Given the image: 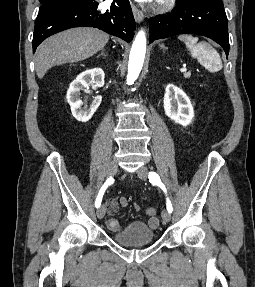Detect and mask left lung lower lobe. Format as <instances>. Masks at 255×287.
Here are the masks:
<instances>
[{"instance_id": "obj_1", "label": "left lung lower lobe", "mask_w": 255, "mask_h": 287, "mask_svg": "<svg viewBox=\"0 0 255 287\" xmlns=\"http://www.w3.org/2000/svg\"><path fill=\"white\" fill-rule=\"evenodd\" d=\"M150 42L178 34L203 35L229 53L228 23L222 0H177L175 9L150 19Z\"/></svg>"}]
</instances>
